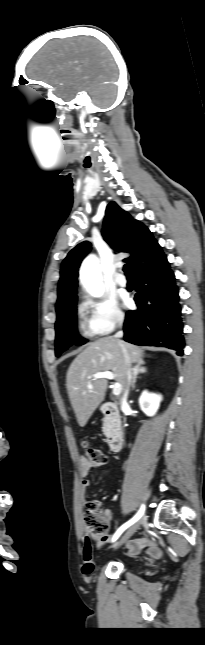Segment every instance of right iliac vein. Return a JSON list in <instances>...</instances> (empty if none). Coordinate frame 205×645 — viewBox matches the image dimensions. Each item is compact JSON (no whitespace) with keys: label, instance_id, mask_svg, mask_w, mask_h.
<instances>
[{"label":"right iliac vein","instance_id":"1","mask_svg":"<svg viewBox=\"0 0 205 645\" xmlns=\"http://www.w3.org/2000/svg\"><path fill=\"white\" fill-rule=\"evenodd\" d=\"M144 518L141 517L139 518L136 522H134L128 530L123 534V536L117 541L114 545V549L119 548L121 545H123L129 538L133 536V534L138 530L140 525L142 524Z\"/></svg>","mask_w":205,"mask_h":645}]
</instances>
